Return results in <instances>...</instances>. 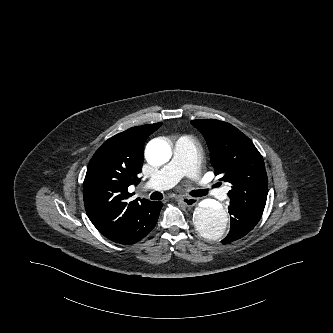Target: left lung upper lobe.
Segmentation results:
<instances>
[{"instance_id": "1", "label": "left lung upper lobe", "mask_w": 333, "mask_h": 333, "mask_svg": "<svg viewBox=\"0 0 333 333\" xmlns=\"http://www.w3.org/2000/svg\"><path fill=\"white\" fill-rule=\"evenodd\" d=\"M204 136L215 175L230 184V204L263 213L268 179L262 155L252 141L229 123L202 119L191 121Z\"/></svg>"}]
</instances>
